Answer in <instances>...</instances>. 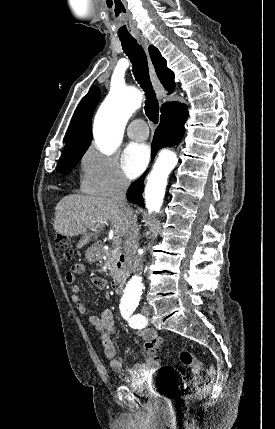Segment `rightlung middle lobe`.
<instances>
[{
  "label": "right lung middle lobe",
  "mask_w": 275,
  "mask_h": 429,
  "mask_svg": "<svg viewBox=\"0 0 275 429\" xmlns=\"http://www.w3.org/2000/svg\"><path fill=\"white\" fill-rule=\"evenodd\" d=\"M83 154L84 152L63 156L57 168V172L63 174L69 173L80 161Z\"/></svg>",
  "instance_id": "dd1d6c3e"
}]
</instances>
